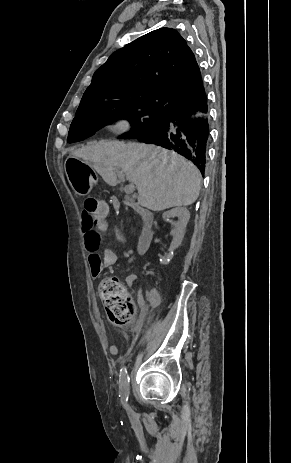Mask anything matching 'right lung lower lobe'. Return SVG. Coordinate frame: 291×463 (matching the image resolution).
<instances>
[{"label": "right lung lower lobe", "instance_id": "1", "mask_svg": "<svg viewBox=\"0 0 291 463\" xmlns=\"http://www.w3.org/2000/svg\"><path fill=\"white\" fill-rule=\"evenodd\" d=\"M164 114L159 126L137 139L177 152L192 161L203 175L210 133L207 96L196 109Z\"/></svg>", "mask_w": 291, "mask_h": 463}]
</instances>
